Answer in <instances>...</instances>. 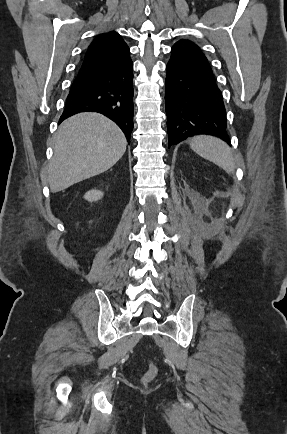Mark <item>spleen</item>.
<instances>
[{"label":"spleen","mask_w":287,"mask_h":434,"mask_svg":"<svg viewBox=\"0 0 287 434\" xmlns=\"http://www.w3.org/2000/svg\"><path fill=\"white\" fill-rule=\"evenodd\" d=\"M190 147L201 157L215 163L227 173H233L235 162L230 147L222 140L201 135L193 138Z\"/></svg>","instance_id":"spleen-1"}]
</instances>
